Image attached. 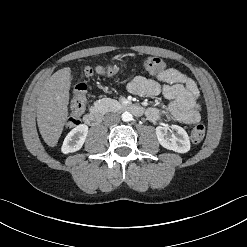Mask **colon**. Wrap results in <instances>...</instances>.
I'll return each instance as SVG.
<instances>
[{"label":"colon","mask_w":247,"mask_h":247,"mask_svg":"<svg viewBox=\"0 0 247 247\" xmlns=\"http://www.w3.org/2000/svg\"><path fill=\"white\" fill-rule=\"evenodd\" d=\"M141 66L151 74H159L166 71V63L158 57H148L142 61ZM118 71L116 66H97L86 67L83 71V77H90L93 74L106 76L115 75ZM87 86L83 82H77L73 89V98L71 101V114L68 119V126L73 127L79 124V118L86 106ZM205 136V127L202 124L195 126L191 132V140L199 143Z\"/></svg>","instance_id":"colon-1"}]
</instances>
